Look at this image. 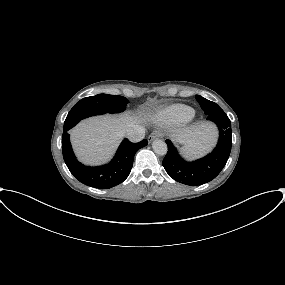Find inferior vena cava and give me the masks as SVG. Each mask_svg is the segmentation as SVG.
I'll return each mask as SVG.
<instances>
[{"mask_svg": "<svg viewBox=\"0 0 285 285\" xmlns=\"http://www.w3.org/2000/svg\"><path fill=\"white\" fill-rule=\"evenodd\" d=\"M126 137L132 142H139L145 137V129L140 125L129 127L125 130Z\"/></svg>", "mask_w": 285, "mask_h": 285, "instance_id": "obj_1", "label": "inferior vena cava"}]
</instances>
